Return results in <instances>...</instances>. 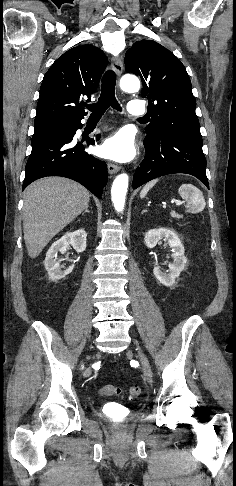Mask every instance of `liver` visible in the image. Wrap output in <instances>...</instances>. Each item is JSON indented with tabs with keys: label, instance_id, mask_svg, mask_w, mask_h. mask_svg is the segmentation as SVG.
<instances>
[{
	"label": "liver",
	"instance_id": "obj_1",
	"mask_svg": "<svg viewBox=\"0 0 236 486\" xmlns=\"http://www.w3.org/2000/svg\"><path fill=\"white\" fill-rule=\"evenodd\" d=\"M90 194L63 177L33 182L24 192L23 233L28 255L37 257L49 241L89 204Z\"/></svg>",
	"mask_w": 236,
	"mask_h": 486
}]
</instances>
